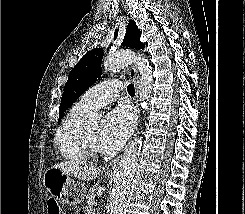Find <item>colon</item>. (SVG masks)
I'll return each instance as SVG.
<instances>
[{
    "label": "colon",
    "mask_w": 245,
    "mask_h": 214,
    "mask_svg": "<svg viewBox=\"0 0 245 214\" xmlns=\"http://www.w3.org/2000/svg\"><path fill=\"white\" fill-rule=\"evenodd\" d=\"M48 206H49V214H61L59 206L54 200H50Z\"/></svg>",
    "instance_id": "1"
}]
</instances>
